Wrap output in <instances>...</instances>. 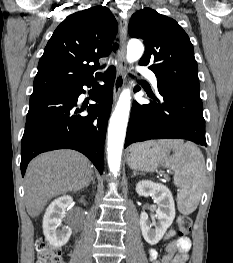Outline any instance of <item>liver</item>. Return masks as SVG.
Here are the masks:
<instances>
[{"label":"liver","mask_w":233,"mask_h":263,"mask_svg":"<svg viewBox=\"0 0 233 263\" xmlns=\"http://www.w3.org/2000/svg\"><path fill=\"white\" fill-rule=\"evenodd\" d=\"M93 169L90 161L73 150L40 154L25 175V205L31 217L38 216L53 197L87 187Z\"/></svg>","instance_id":"liver-1"}]
</instances>
